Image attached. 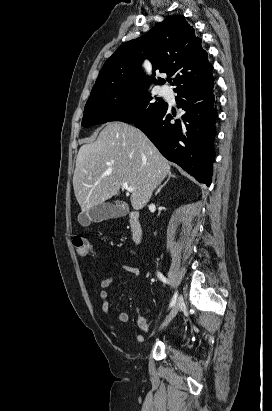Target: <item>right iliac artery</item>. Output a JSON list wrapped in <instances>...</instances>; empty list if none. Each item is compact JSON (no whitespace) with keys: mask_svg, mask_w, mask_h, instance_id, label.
Returning a JSON list of instances; mask_svg holds the SVG:
<instances>
[{"mask_svg":"<svg viewBox=\"0 0 272 411\" xmlns=\"http://www.w3.org/2000/svg\"><path fill=\"white\" fill-rule=\"evenodd\" d=\"M157 276L164 283H168L167 279L160 272H157ZM176 300H177V292H175V294H174V296H173V298L170 302V308L175 305Z\"/></svg>","mask_w":272,"mask_h":411,"instance_id":"obj_1","label":"right iliac artery"}]
</instances>
